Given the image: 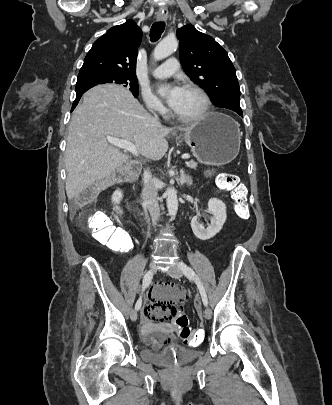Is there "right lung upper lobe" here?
<instances>
[{"label":"right lung upper lobe","instance_id":"right-lung-upper-lobe-1","mask_svg":"<svg viewBox=\"0 0 332 405\" xmlns=\"http://www.w3.org/2000/svg\"><path fill=\"white\" fill-rule=\"evenodd\" d=\"M142 31L133 20L110 28L87 53L80 73L103 70L136 76Z\"/></svg>","mask_w":332,"mask_h":405}]
</instances>
